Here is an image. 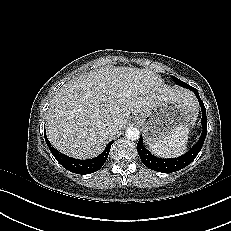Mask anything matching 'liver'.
<instances>
[{"label":"liver","mask_w":231,"mask_h":231,"mask_svg":"<svg viewBox=\"0 0 231 231\" xmlns=\"http://www.w3.org/2000/svg\"><path fill=\"white\" fill-rule=\"evenodd\" d=\"M165 101L193 106L189 91L170 88L149 69L101 68L63 85L46 114V133L60 152L78 159L99 155L130 119ZM116 125V134L107 129Z\"/></svg>","instance_id":"obj_1"}]
</instances>
